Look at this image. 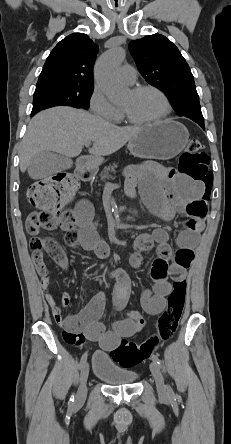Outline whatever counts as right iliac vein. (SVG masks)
<instances>
[{"label":"right iliac vein","instance_id":"63e3f726","mask_svg":"<svg viewBox=\"0 0 231 444\" xmlns=\"http://www.w3.org/2000/svg\"><path fill=\"white\" fill-rule=\"evenodd\" d=\"M89 376V364L85 361V363L82 365V370L80 374V384L79 388L76 394V402L78 404H82L85 401L86 394H87V380Z\"/></svg>","mask_w":231,"mask_h":444}]
</instances>
